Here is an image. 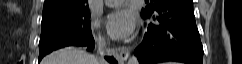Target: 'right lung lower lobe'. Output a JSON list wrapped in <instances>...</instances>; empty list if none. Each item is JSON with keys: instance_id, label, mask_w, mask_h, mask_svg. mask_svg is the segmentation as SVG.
Returning a JSON list of instances; mask_svg holds the SVG:
<instances>
[{"instance_id": "obj_1", "label": "right lung lower lobe", "mask_w": 242, "mask_h": 64, "mask_svg": "<svg viewBox=\"0 0 242 64\" xmlns=\"http://www.w3.org/2000/svg\"><path fill=\"white\" fill-rule=\"evenodd\" d=\"M74 46H82V47H86L88 51H92L94 49V39H92L91 41L87 42V43H83L80 45H74ZM105 59L110 62L111 64H117V61L113 58V57H107L105 56ZM41 59H39L40 61Z\"/></svg>"}]
</instances>
